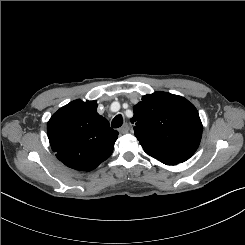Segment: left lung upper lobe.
Wrapping results in <instances>:
<instances>
[{
  "label": "left lung upper lobe",
  "instance_id": "1",
  "mask_svg": "<svg viewBox=\"0 0 245 245\" xmlns=\"http://www.w3.org/2000/svg\"><path fill=\"white\" fill-rule=\"evenodd\" d=\"M135 136L141 145L189 159L197 150L202 123L185 98L167 92L145 95L133 107Z\"/></svg>",
  "mask_w": 245,
  "mask_h": 245
}]
</instances>
